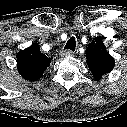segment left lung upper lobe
I'll list each match as a JSON object with an SVG mask.
<instances>
[{"label": "left lung upper lobe", "instance_id": "1", "mask_svg": "<svg viewBox=\"0 0 127 127\" xmlns=\"http://www.w3.org/2000/svg\"><path fill=\"white\" fill-rule=\"evenodd\" d=\"M87 64L89 70L96 80L111 72L115 66V60L107 52L103 41L100 38L93 40L86 50Z\"/></svg>", "mask_w": 127, "mask_h": 127}]
</instances>
